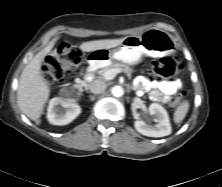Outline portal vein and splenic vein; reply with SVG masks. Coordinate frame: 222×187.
Segmentation results:
<instances>
[{"label": "portal vein and splenic vein", "instance_id": "portal-vein-and-splenic-vein-1", "mask_svg": "<svg viewBox=\"0 0 222 187\" xmlns=\"http://www.w3.org/2000/svg\"><path fill=\"white\" fill-rule=\"evenodd\" d=\"M121 71L119 69H111V70H108L106 71L104 74H103V77L104 79L106 80H112L115 78V76L120 73Z\"/></svg>", "mask_w": 222, "mask_h": 187}]
</instances>
